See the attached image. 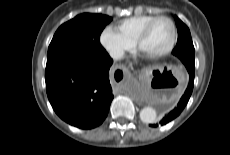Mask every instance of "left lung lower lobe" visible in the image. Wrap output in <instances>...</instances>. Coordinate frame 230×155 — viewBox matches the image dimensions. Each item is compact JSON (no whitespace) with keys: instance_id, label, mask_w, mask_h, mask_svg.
Wrapping results in <instances>:
<instances>
[{"instance_id":"1","label":"left lung lower lobe","mask_w":230,"mask_h":155,"mask_svg":"<svg viewBox=\"0 0 230 155\" xmlns=\"http://www.w3.org/2000/svg\"><path fill=\"white\" fill-rule=\"evenodd\" d=\"M180 60L183 62V64L185 65L188 73H189V83L188 86L184 92V94L182 95L180 101L178 102L177 106L170 111L160 122V125H165L168 122H170L171 120H173L174 118H176L184 109V107L186 106V104L189 101V98L192 94V90H193V86H194V70H195V63L193 59H190L189 57H187L186 55H180L179 56ZM151 127H157L158 124H151Z\"/></svg>"}]
</instances>
